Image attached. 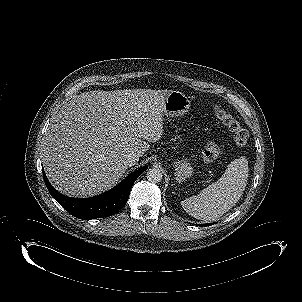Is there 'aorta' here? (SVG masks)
Masks as SVG:
<instances>
[{"label":"aorta","instance_id":"aorta-1","mask_svg":"<svg viewBox=\"0 0 302 302\" xmlns=\"http://www.w3.org/2000/svg\"><path fill=\"white\" fill-rule=\"evenodd\" d=\"M162 172L158 168H151L147 171V180L151 183H159L162 180Z\"/></svg>","mask_w":302,"mask_h":302}]
</instances>
